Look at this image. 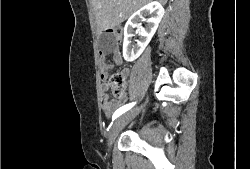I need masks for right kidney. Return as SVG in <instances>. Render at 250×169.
<instances>
[{
    "instance_id": "obj_1",
    "label": "right kidney",
    "mask_w": 250,
    "mask_h": 169,
    "mask_svg": "<svg viewBox=\"0 0 250 169\" xmlns=\"http://www.w3.org/2000/svg\"><path fill=\"white\" fill-rule=\"evenodd\" d=\"M143 14H150V18H144ZM163 14L164 8L158 0L144 4L142 8L131 14L124 26L123 56L125 60L131 62L142 54L153 34H155ZM140 18L148 22L147 28H143L141 22H138ZM136 26V32H139L140 40H136L137 44H131V36H135L133 28H136Z\"/></svg>"
}]
</instances>
